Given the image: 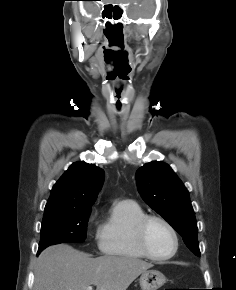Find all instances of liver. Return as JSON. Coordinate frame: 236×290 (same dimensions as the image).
<instances>
[{"label": "liver", "instance_id": "liver-1", "mask_svg": "<svg viewBox=\"0 0 236 290\" xmlns=\"http://www.w3.org/2000/svg\"><path fill=\"white\" fill-rule=\"evenodd\" d=\"M153 265L132 257L92 258L67 244L46 248L35 265L33 290H126Z\"/></svg>", "mask_w": 236, "mask_h": 290}]
</instances>
